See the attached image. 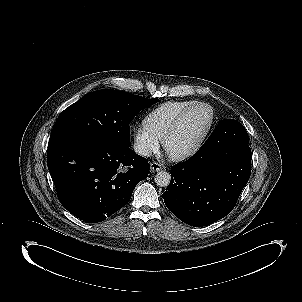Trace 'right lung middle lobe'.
<instances>
[{
  "label": "right lung middle lobe",
  "instance_id": "right-lung-middle-lobe-1",
  "mask_svg": "<svg viewBox=\"0 0 302 302\" xmlns=\"http://www.w3.org/2000/svg\"><path fill=\"white\" fill-rule=\"evenodd\" d=\"M158 101L118 90L90 92L59 115L50 143L76 137H100L130 147V121L140 110Z\"/></svg>",
  "mask_w": 302,
  "mask_h": 302
}]
</instances>
